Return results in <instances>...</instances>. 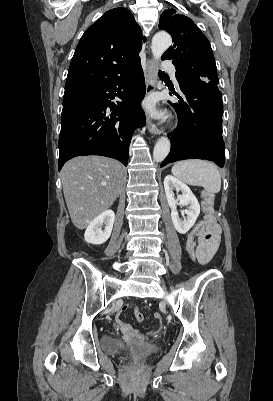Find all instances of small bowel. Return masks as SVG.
<instances>
[{
  "label": "small bowel",
  "instance_id": "obj_1",
  "mask_svg": "<svg viewBox=\"0 0 273 401\" xmlns=\"http://www.w3.org/2000/svg\"><path fill=\"white\" fill-rule=\"evenodd\" d=\"M199 232H200L199 227L196 226L194 228V230L188 234L187 239H186V248H187L188 252L190 251V249H192L193 251L195 250L194 237L196 235L199 236ZM218 243H219V241H199L198 240V245L195 250V256L201 264H207L211 260L212 256L214 255V253L218 247ZM121 311L126 312L127 308L122 307ZM153 317L159 318L160 312L154 311ZM137 320L142 321L143 319L142 320L137 319ZM128 327L131 330V335L129 333ZM119 329H120V331L123 332V336L126 339V342L128 345H131L132 347H134V346L143 344V335L139 331L134 329L131 325L122 323V324H120ZM158 332L160 334H163L165 332V329L163 327H160L158 329Z\"/></svg>",
  "mask_w": 273,
  "mask_h": 401
}]
</instances>
